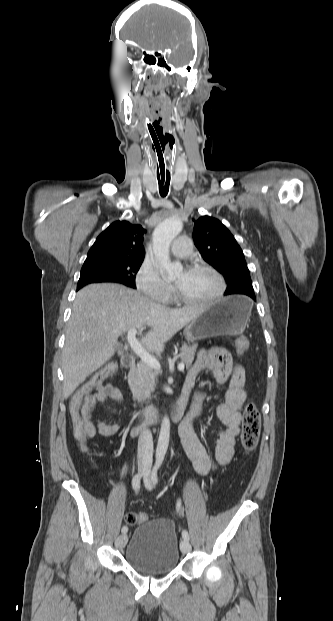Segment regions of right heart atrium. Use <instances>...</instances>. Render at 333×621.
Here are the masks:
<instances>
[{
  "label": "right heart atrium",
  "instance_id": "right-heart-atrium-1",
  "mask_svg": "<svg viewBox=\"0 0 333 621\" xmlns=\"http://www.w3.org/2000/svg\"><path fill=\"white\" fill-rule=\"evenodd\" d=\"M137 288L148 298L166 303L172 296V287L159 275L157 268L148 262H144L136 275Z\"/></svg>",
  "mask_w": 333,
  "mask_h": 621
}]
</instances>
